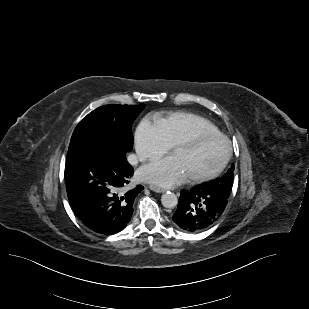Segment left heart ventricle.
<instances>
[{
    "instance_id": "b2bd125f",
    "label": "left heart ventricle",
    "mask_w": 309,
    "mask_h": 309,
    "mask_svg": "<svg viewBox=\"0 0 309 309\" xmlns=\"http://www.w3.org/2000/svg\"><path fill=\"white\" fill-rule=\"evenodd\" d=\"M188 177L205 175L213 171L222 161L225 144L220 139H205L197 144L173 150Z\"/></svg>"
}]
</instances>
